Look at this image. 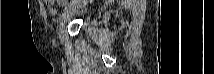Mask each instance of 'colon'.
Masks as SVG:
<instances>
[{
	"mask_svg": "<svg viewBox=\"0 0 214 74\" xmlns=\"http://www.w3.org/2000/svg\"><path fill=\"white\" fill-rule=\"evenodd\" d=\"M47 4L49 5H54L55 3H58V4H65L67 1L66 0H46Z\"/></svg>",
	"mask_w": 214,
	"mask_h": 74,
	"instance_id": "5ec220e1",
	"label": "colon"
}]
</instances>
